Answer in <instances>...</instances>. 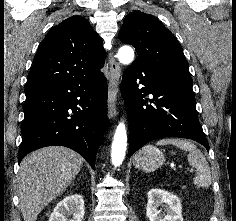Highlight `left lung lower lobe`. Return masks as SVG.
I'll return each instance as SVG.
<instances>
[{
	"label": "left lung lower lobe",
	"mask_w": 236,
	"mask_h": 221,
	"mask_svg": "<svg viewBox=\"0 0 236 221\" xmlns=\"http://www.w3.org/2000/svg\"><path fill=\"white\" fill-rule=\"evenodd\" d=\"M192 84L140 63L125 70L121 94L130 123L129 157L146 143L163 137L189 138L209 151ZM148 94L153 95L150 101L154 105L143 99Z\"/></svg>",
	"instance_id": "obj_1"
}]
</instances>
